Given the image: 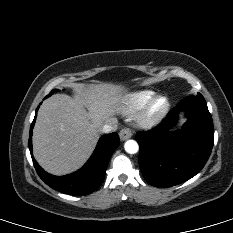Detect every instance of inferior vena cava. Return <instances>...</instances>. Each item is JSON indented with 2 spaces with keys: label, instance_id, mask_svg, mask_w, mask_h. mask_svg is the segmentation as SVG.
Instances as JSON below:
<instances>
[{
  "label": "inferior vena cava",
  "instance_id": "inferior-vena-cava-1",
  "mask_svg": "<svg viewBox=\"0 0 233 233\" xmlns=\"http://www.w3.org/2000/svg\"><path fill=\"white\" fill-rule=\"evenodd\" d=\"M118 128V122L116 119L112 118L107 121L102 127L101 132L102 133H110L113 131H116Z\"/></svg>",
  "mask_w": 233,
  "mask_h": 233
}]
</instances>
